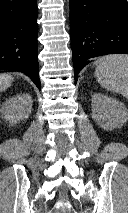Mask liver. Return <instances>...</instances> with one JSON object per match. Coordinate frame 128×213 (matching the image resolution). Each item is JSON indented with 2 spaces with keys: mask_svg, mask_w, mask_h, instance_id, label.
Masks as SVG:
<instances>
[{
  "mask_svg": "<svg viewBox=\"0 0 128 213\" xmlns=\"http://www.w3.org/2000/svg\"><path fill=\"white\" fill-rule=\"evenodd\" d=\"M14 80L13 76L8 73L0 74V92L5 91L9 88Z\"/></svg>",
  "mask_w": 128,
  "mask_h": 213,
  "instance_id": "obj_1",
  "label": "liver"
}]
</instances>
